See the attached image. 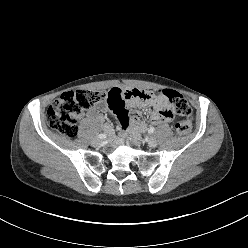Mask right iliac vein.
<instances>
[{
	"label": "right iliac vein",
	"instance_id": "1",
	"mask_svg": "<svg viewBox=\"0 0 248 248\" xmlns=\"http://www.w3.org/2000/svg\"><path fill=\"white\" fill-rule=\"evenodd\" d=\"M91 143H92V145H94V146H98V145H100L101 140H100L99 138H95V139L92 140Z\"/></svg>",
	"mask_w": 248,
	"mask_h": 248
}]
</instances>
